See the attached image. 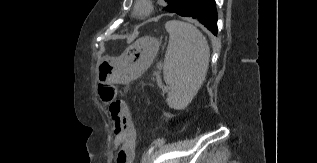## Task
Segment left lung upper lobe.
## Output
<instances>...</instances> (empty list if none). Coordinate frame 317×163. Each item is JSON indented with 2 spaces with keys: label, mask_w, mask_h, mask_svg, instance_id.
<instances>
[{
  "label": "left lung upper lobe",
  "mask_w": 317,
  "mask_h": 163,
  "mask_svg": "<svg viewBox=\"0 0 317 163\" xmlns=\"http://www.w3.org/2000/svg\"><path fill=\"white\" fill-rule=\"evenodd\" d=\"M165 1L168 2V5L164 7V10L169 12H174L182 0H165Z\"/></svg>",
  "instance_id": "5c2ea615"
}]
</instances>
